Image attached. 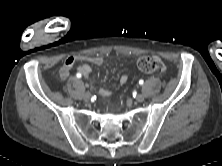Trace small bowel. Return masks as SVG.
Listing matches in <instances>:
<instances>
[{
    "instance_id": "small-bowel-1",
    "label": "small bowel",
    "mask_w": 222,
    "mask_h": 166,
    "mask_svg": "<svg viewBox=\"0 0 222 166\" xmlns=\"http://www.w3.org/2000/svg\"><path fill=\"white\" fill-rule=\"evenodd\" d=\"M76 61H81L83 62L79 67H78V71L80 74H82L86 79H90L91 77V73H92V69L90 67L89 64H94V65H102L103 62H104V59L103 57L101 56H87V55H80V56H71V57H68L61 69H60V76L61 78H67L74 63ZM128 81V76L126 74H123L121 77H120V84L121 85H124L126 82ZM99 94L102 96V97H108L110 95V91L106 88H101L99 90Z\"/></svg>"
}]
</instances>
